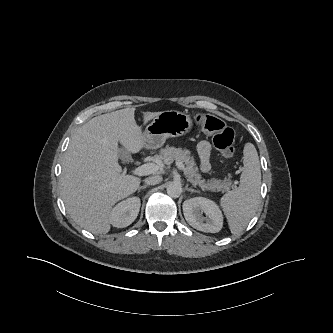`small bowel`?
Returning <instances> with one entry per match:
<instances>
[{"label":"small bowel","mask_w":333,"mask_h":333,"mask_svg":"<svg viewBox=\"0 0 333 333\" xmlns=\"http://www.w3.org/2000/svg\"><path fill=\"white\" fill-rule=\"evenodd\" d=\"M211 146L208 141H201L197 146V152L200 158V168L202 172H208L211 169L210 163Z\"/></svg>","instance_id":"c3829d8e"}]
</instances>
